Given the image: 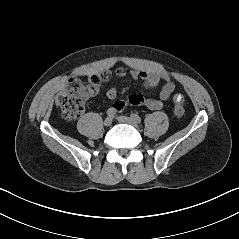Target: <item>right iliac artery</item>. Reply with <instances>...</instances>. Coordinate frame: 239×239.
I'll return each instance as SVG.
<instances>
[{"label":"right iliac artery","mask_w":239,"mask_h":239,"mask_svg":"<svg viewBox=\"0 0 239 239\" xmlns=\"http://www.w3.org/2000/svg\"><path fill=\"white\" fill-rule=\"evenodd\" d=\"M115 114H116V110H115V109L109 108V109L107 110V116H108V117H114Z\"/></svg>","instance_id":"82829eb1"}]
</instances>
